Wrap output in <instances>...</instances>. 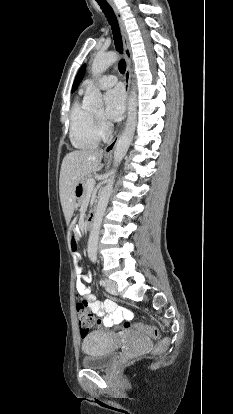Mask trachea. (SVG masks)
Here are the masks:
<instances>
[{"mask_svg":"<svg viewBox=\"0 0 233 414\" xmlns=\"http://www.w3.org/2000/svg\"><path fill=\"white\" fill-rule=\"evenodd\" d=\"M102 9L103 13L105 14L113 33L114 44L116 50L120 53L123 51V44H122V37L120 33L119 24L116 18V15L106 0H96ZM118 69L121 74H124L126 71V62L124 59H121L118 64Z\"/></svg>","mask_w":233,"mask_h":414,"instance_id":"obj_1","label":"trachea"}]
</instances>
